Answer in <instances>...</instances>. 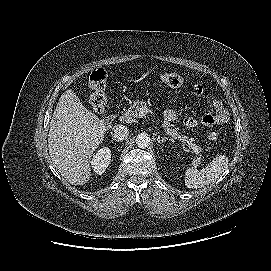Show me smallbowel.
<instances>
[{
	"label": "small bowel",
	"instance_id": "small-bowel-1",
	"mask_svg": "<svg viewBox=\"0 0 271 271\" xmlns=\"http://www.w3.org/2000/svg\"><path fill=\"white\" fill-rule=\"evenodd\" d=\"M192 93L194 96L200 97L204 94V88L201 85H196L194 86ZM211 105L212 111L204 113L199 118L188 116L180 120V117L176 111L166 110L164 112V119L168 122L181 121L183 126L186 128H194L200 124L205 127H213L226 122L228 119V113L224 105L218 100H213Z\"/></svg>",
	"mask_w": 271,
	"mask_h": 271
}]
</instances>
